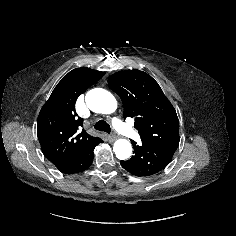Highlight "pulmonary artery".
I'll return each mask as SVG.
<instances>
[{
	"label": "pulmonary artery",
	"mask_w": 236,
	"mask_h": 236,
	"mask_svg": "<svg viewBox=\"0 0 236 236\" xmlns=\"http://www.w3.org/2000/svg\"><path fill=\"white\" fill-rule=\"evenodd\" d=\"M113 123L117 131L120 132L121 134L131 138H135L137 136V133L134 130L129 128L126 124H124L120 120L115 119Z\"/></svg>",
	"instance_id": "1"
}]
</instances>
